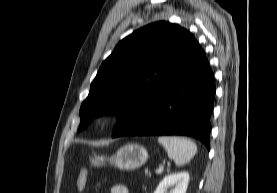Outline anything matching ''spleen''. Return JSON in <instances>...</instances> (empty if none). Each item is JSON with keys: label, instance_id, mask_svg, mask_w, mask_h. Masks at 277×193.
I'll use <instances>...</instances> for the list:
<instances>
[{"label": "spleen", "instance_id": "1", "mask_svg": "<svg viewBox=\"0 0 277 193\" xmlns=\"http://www.w3.org/2000/svg\"><path fill=\"white\" fill-rule=\"evenodd\" d=\"M158 142L162 144L177 166L189 162L197 152V146L191 140L178 136H160Z\"/></svg>", "mask_w": 277, "mask_h": 193}]
</instances>
